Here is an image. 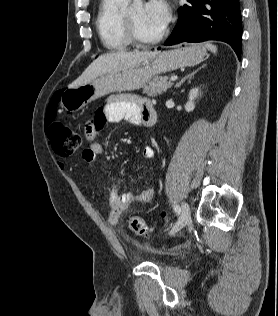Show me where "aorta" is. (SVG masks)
I'll return each instance as SVG.
<instances>
[{
  "mask_svg": "<svg viewBox=\"0 0 278 316\" xmlns=\"http://www.w3.org/2000/svg\"><path fill=\"white\" fill-rule=\"evenodd\" d=\"M141 0H134V4H139Z\"/></svg>",
  "mask_w": 278,
  "mask_h": 316,
  "instance_id": "obj_1",
  "label": "aorta"
}]
</instances>
